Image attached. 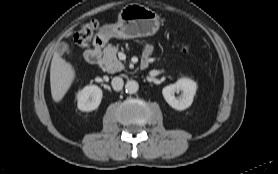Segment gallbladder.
I'll use <instances>...</instances> for the list:
<instances>
[{"mask_svg":"<svg viewBox=\"0 0 278 174\" xmlns=\"http://www.w3.org/2000/svg\"><path fill=\"white\" fill-rule=\"evenodd\" d=\"M56 51L60 54V55H63V54H71V49L69 47V45L65 42H62V43H59L56 47Z\"/></svg>","mask_w":278,"mask_h":174,"instance_id":"bac80fb5","label":"gallbladder"}]
</instances>
